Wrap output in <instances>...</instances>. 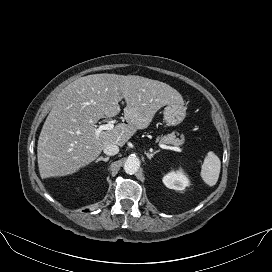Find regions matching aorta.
I'll use <instances>...</instances> for the list:
<instances>
[{
    "mask_svg": "<svg viewBox=\"0 0 272 272\" xmlns=\"http://www.w3.org/2000/svg\"><path fill=\"white\" fill-rule=\"evenodd\" d=\"M140 168V160L137 157H128L124 163V170L127 174H135Z\"/></svg>",
    "mask_w": 272,
    "mask_h": 272,
    "instance_id": "1",
    "label": "aorta"
}]
</instances>
